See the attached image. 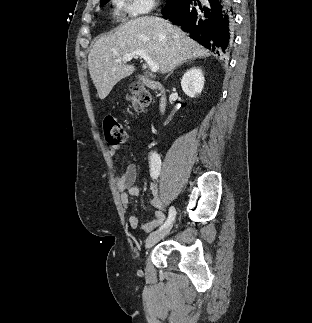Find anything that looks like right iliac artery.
<instances>
[{"label":"right iliac artery","instance_id":"right-iliac-artery-1","mask_svg":"<svg viewBox=\"0 0 312 323\" xmlns=\"http://www.w3.org/2000/svg\"><path fill=\"white\" fill-rule=\"evenodd\" d=\"M160 166H161V160L159 155L157 153H152L150 156V172H151V177L153 179H156L158 177ZM175 215H176L175 208L171 206L169 209L168 218L166 222L160 227V229H163L169 226L173 222Z\"/></svg>","mask_w":312,"mask_h":323}]
</instances>
